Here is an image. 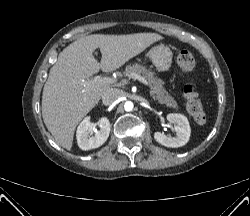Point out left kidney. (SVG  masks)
I'll return each instance as SVG.
<instances>
[{
    "instance_id": "left-kidney-1",
    "label": "left kidney",
    "mask_w": 250,
    "mask_h": 216,
    "mask_svg": "<svg viewBox=\"0 0 250 216\" xmlns=\"http://www.w3.org/2000/svg\"><path fill=\"white\" fill-rule=\"evenodd\" d=\"M167 120L174 124L176 137H167L164 133L155 132V140L163 146L177 148L184 146L190 138L191 129L187 118L182 114L170 113Z\"/></svg>"
}]
</instances>
